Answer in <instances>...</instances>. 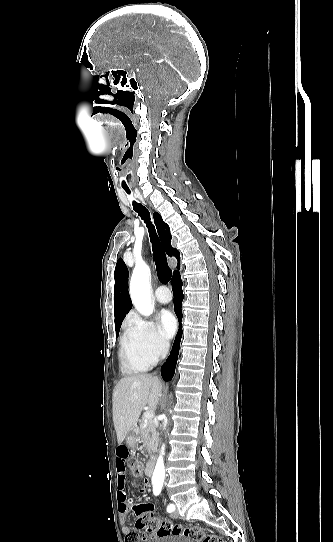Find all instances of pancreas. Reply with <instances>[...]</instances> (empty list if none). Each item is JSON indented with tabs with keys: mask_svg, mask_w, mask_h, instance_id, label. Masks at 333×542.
Segmentation results:
<instances>
[{
	"mask_svg": "<svg viewBox=\"0 0 333 542\" xmlns=\"http://www.w3.org/2000/svg\"><path fill=\"white\" fill-rule=\"evenodd\" d=\"M139 432L143 450H146L150 460H154V454L157 452L158 448V434L153 420L141 418V420H139Z\"/></svg>",
	"mask_w": 333,
	"mask_h": 542,
	"instance_id": "1",
	"label": "pancreas"
}]
</instances>
